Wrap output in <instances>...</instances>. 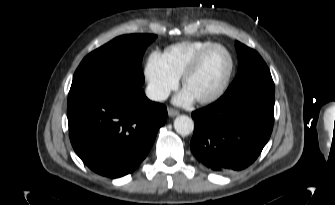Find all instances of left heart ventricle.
Here are the masks:
<instances>
[{
    "mask_svg": "<svg viewBox=\"0 0 335 205\" xmlns=\"http://www.w3.org/2000/svg\"><path fill=\"white\" fill-rule=\"evenodd\" d=\"M229 66V57L223 49L216 48L210 51L197 72L186 82L185 89L195 99L208 96L220 86Z\"/></svg>",
    "mask_w": 335,
    "mask_h": 205,
    "instance_id": "b2bd125f",
    "label": "left heart ventricle"
}]
</instances>
